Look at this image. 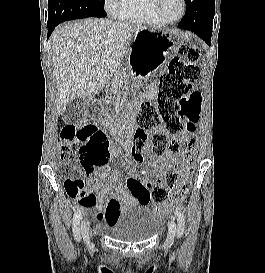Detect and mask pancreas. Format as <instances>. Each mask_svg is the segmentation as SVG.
I'll return each mask as SVG.
<instances>
[{
    "mask_svg": "<svg viewBox=\"0 0 265 273\" xmlns=\"http://www.w3.org/2000/svg\"><path fill=\"white\" fill-rule=\"evenodd\" d=\"M129 75H130L129 65H125V67H121V69H118L113 78L112 88L113 89L120 88L124 81L129 77Z\"/></svg>",
    "mask_w": 265,
    "mask_h": 273,
    "instance_id": "obj_1",
    "label": "pancreas"
}]
</instances>
